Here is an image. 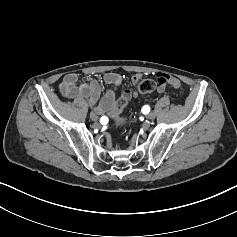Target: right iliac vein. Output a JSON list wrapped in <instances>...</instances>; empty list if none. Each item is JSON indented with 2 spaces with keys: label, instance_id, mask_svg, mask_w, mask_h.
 Instances as JSON below:
<instances>
[{
  "label": "right iliac vein",
  "instance_id": "63e3f726",
  "mask_svg": "<svg viewBox=\"0 0 237 237\" xmlns=\"http://www.w3.org/2000/svg\"><path fill=\"white\" fill-rule=\"evenodd\" d=\"M90 118H91L93 121H97L98 116H97L96 113L92 112V113H90Z\"/></svg>",
  "mask_w": 237,
  "mask_h": 237
}]
</instances>
